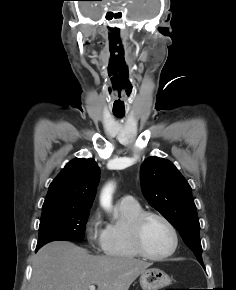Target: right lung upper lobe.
<instances>
[{
  "mask_svg": "<svg viewBox=\"0 0 236 290\" xmlns=\"http://www.w3.org/2000/svg\"><path fill=\"white\" fill-rule=\"evenodd\" d=\"M99 174L100 169L93 159L71 160L50 184L42 211L90 210Z\"/></svg>",
  "mask_w": 236,
  "mask_h": 290,
  "instance_id": "obj_1",
  "label": "right lung upper lobe"
}]
</instances>
